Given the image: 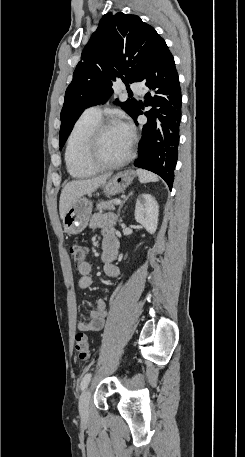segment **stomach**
I'll return each instance as SVG.
<instances>
[{"label": "stomach", "instance_id": "stomach-1", "mask_svg": "<svg viewBox=\"0 0 245 457\" xmlns=\"http://www.w3.org/2000/svg\"><path fill=\"white\" fill-rule=\"evenodd\" d=\"M137 172L135 170H120L111 176L110 180L104 182L103 190L107 196L109 194H117L123 192L129 184H131ZM92 212V202L86 196H81L74 200L70 208H68L64 218L63 226L67 235H79L87 226Z\"/></svg>", "mask_w": 245, "mask_h": 457}]
</instances>
